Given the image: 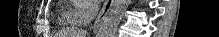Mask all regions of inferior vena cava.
Instances as JSON below:
<instances>
[{
	"label": "inferior vena cava",
	"mask_w": 219,
	"mask_h": 37,
	"mask_svg": "<svg viewBox=\"0 0 219 37\" xmlns=\"http://www.w3.org/2000/svg\"><path fill=\"white\" fill-rule=\"evenodd\" d=\"M97 13H98V7L96 5L92 6L91 17L92 18L96 17Z\"/></svg>",
	"instance_id": "602c4592"
}]
</instances>
